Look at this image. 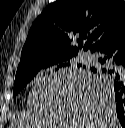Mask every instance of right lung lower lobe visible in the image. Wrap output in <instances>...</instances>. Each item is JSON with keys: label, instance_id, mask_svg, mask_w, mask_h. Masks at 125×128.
I'll return each instance as SVG.
<instances>
[{"label": "right lung lower lobe", "instance_id": "98d812e1", "mask_svg": "<svg viewBox=\"0 0 125 128\" xmlns=\"http://www.w3.org/2000/svg\"><path fill=\"white\" fill-rule=\"evenodd\" d=\"M92 53L99 55L101 66L92 67L90 70L95 74L106 75L107 85L115 97L117 117L125 128V28L97 46Z\"/></svg>", "mask_w": 125, "mask_h": 128}]
</instances>
